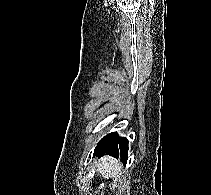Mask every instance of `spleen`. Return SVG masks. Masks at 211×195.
<instances>
[{
    "label": "spleen",
    "mask_w": 211,
    "mask_h": 195,
    "mask_svg": "<svg viewBox=\"0 0 211 195\" xmlns=\"http://www.w3.org/2000/svg\"><path fill=\"white\" fill-rule=\"evenodd\" d=\"M97 170L106 178H117L122 175V166L120 162L112 157L102 158L96 165Z\"/></svg>",
    "instance_id": "spleen-1"
}]
</instances>
